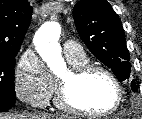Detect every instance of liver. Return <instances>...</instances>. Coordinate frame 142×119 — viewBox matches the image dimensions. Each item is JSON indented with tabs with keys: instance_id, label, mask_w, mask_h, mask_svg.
<instances>
[{
	"instance_id": "obj_1",
	"label": "liver",
	"mask_w": 142,
	"mask_h": 119,
	"mask_svg": "<svg viewBox=\"0 0 142 119\" xmlns=\"http://www.w3.org/2000/svg\"><path fill=\"white\" fill-rule=\"evenodd\" d=\"M0 119H66V117L46 113H29L25 115L0 114Z\"/></svg>"
}]
</instances>
